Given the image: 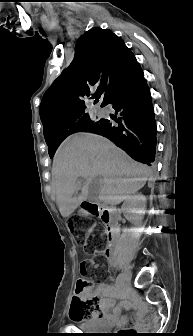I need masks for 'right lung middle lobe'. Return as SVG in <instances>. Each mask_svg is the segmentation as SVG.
Segmentation results:
<instances>
[{"instance_id":"obj_1","label":"right lung middle lobe","mask_w":193,"mask_h":336,"mask_svg":"<svg viewBox=\"0 0 193 336\" xmlns=\"http://www.w3.org/2000/svg\"><path fill=\"white\" fill-rule=\"evenodd\" d=\"M105 123V119H101L99 121H92L88 115L81 118L79 121H77L69 130H67L63 134H59L56 136H53L49 140L46 141L48 145V152L50 158L53 157L56 149L58 146L62 143V141L69 135L75 133V132H95L99 128H101Z\"/></svg>"}]
</instances>
